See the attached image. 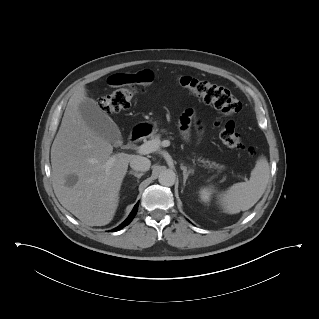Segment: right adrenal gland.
<instances>
[{
    "label": "right adrenal gland",
    "mask_w": 319,
    "mask_h": 319,
    "mask_svg": "<svg viewBox=\"0 0 319 319\" xmlns=\"http://www.w3.org/2000/svg\"><path fill=\"white\" fill-rule=\"evenodd\" d=\"M129 174L134 175L135 177H137L138 179H140L143 176V173H138L136 171H130Z\"/></svg>",
    "instance_id": "right-adrenal-gland-1"
}]
</instances>
